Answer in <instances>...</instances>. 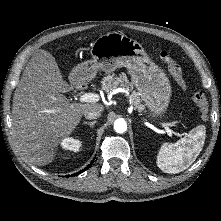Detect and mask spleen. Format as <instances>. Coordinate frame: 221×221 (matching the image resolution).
Returning <instances> with one entry per match:
<instances>
[{
	"label": "spleen",
	"mask_w": 221,
	"mask_h": 221,
	"mask_svg": "<svg viewBox=\"0 0 221 221\" xmlns=\"http://www.w3.org/2000/svg\"><path fill=\"white\" fill-rule=\"evenodd\" d=\"M205 135V126L199 125L176 143H163L157 156L158 167L170 174L187 169L201 152Z\"/></svg>",
	"instance_id": "3e777b00"
}]
</instances>
